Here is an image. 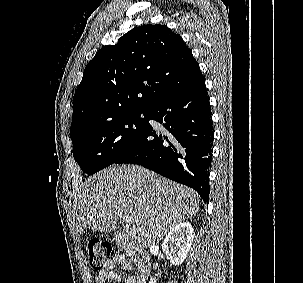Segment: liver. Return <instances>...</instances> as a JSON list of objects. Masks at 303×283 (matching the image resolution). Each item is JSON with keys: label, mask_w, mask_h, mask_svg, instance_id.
Here are the masks:
<instances>
[{"label": "liver", "mask_w": 303, "mask_h": 283, "mask_svg": "<svg viewBox=\"0 0 303 283\" xmlns=\"http://www.w3.org/2000/svg\"><path fill=\"white\" fill-rule=\"evenodd\" d=\"M76 233L112 232L130 216L129 243L144 249L199 211L198 194L141 166L112 165L87 179L77 198Z\"/></svg>", "instance_id": "obj_1"}]
</instances>
